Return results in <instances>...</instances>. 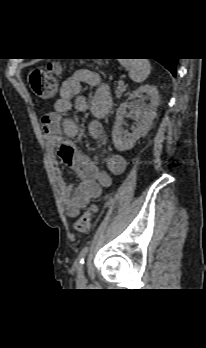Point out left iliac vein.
<instances>
[{"mask_svg": "<svg viewBox=\"0 0 206 348\" xmlns=\"http://www.w3.org/2000/svg\"><path fill=\"white\" fill-rule=\"evenodd\" d=\"M78 278H79V280H83L84 279V275H83L82 271L79 273Z\"/></svg>", "mask_w": 206, "mask_h": 348, "instance_id": "4c4485c4", "label": "left iliac vein"}]
</instances>
